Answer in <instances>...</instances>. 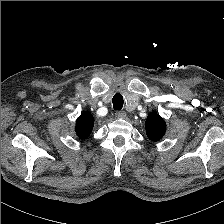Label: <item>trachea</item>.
Listing matches in <instances>:
<instances>
[{"label":"trachea","instance_id":"obj_1","mask_svg":"<svg viewBox=\"0 0 224 224\" xmlns=\"http://www.w3.org/2000/svg\"><path fill=\"white\" fill-rule=\"evenodd\" d=\"M112 102H113V108L115 110H121L124 103L123 96L119 93L115 94L113 96Z\"/></svg>","mask_w":224,"mask_h":224}]
</instances>
